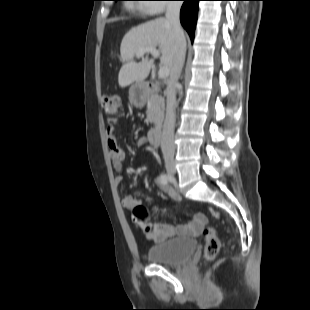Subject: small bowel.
Segmentation results:
<instances>
[{
	"mask_svg": "<svg viewBox=\"0 0 310 310\" xmlns=\"http://www.w3.org/2000/svg\"><path fill=\"white\" fill-rule=\"evenodd\" d=\"M136 144L140 147L146 144L144 138H138ZM107 145L109 148V155L113 161L116 175L115 183L120 184L122 181V163L125 161L126 156L124 151L118 146L116 130L113 125L107 128ZM154 184L163 192L167 193L173 201H179L180 195L171 188L168 184L161 182L160 178L154 179ZM122 205L128 210H133L137 206V200L132 194L126 195L122 199ZM134 222L144 231L146 238L154 243H161L168 238L178 235H194L197 234L207 223V218L202 213L194 215L193 220L184 225L173 226L171 224L164 223H146L137 221L134 218Z\"/></svg>",
	"mask_w": 310,
	"mask_h": 310,
	"instance_id": "1",
	"label": "small bowel"
}]
</instances>
